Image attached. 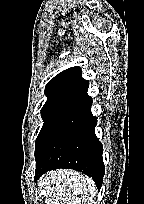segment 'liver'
I'll return each mask as SVG.
<instances>
[{"instance_id":"obj_1","label":"liver","mask_w":144,"mask_h":204,"mask_svg":"<svg viewBox=\"0 0 144 204\" xmlns=\"http://www.w3.org/2000/svg\"><path fill=\"white\" fill-rule=\"evenodd\" d=\"M38 185L46 190V204H94L97 193L94 181L77 171H50Z\"/></svg>"}]
</instances>
